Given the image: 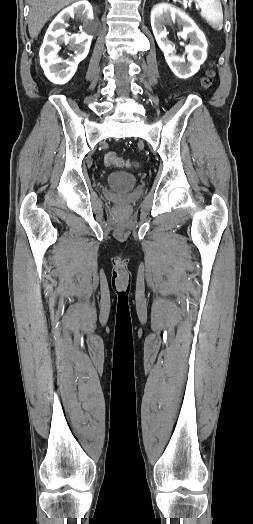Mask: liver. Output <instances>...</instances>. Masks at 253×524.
<instances>
[{"instance_id": "6515ba94", "label": "liver", "mask_w": 253, "mask_h": 524, "mask_svg": "<svg viewBox=\"0 0 253 524\" xmlns=\"http://www.w3.org/2000/svg\"><path fill=\"white\" fill-rule=\"evenodd\" d=\"M77 0H29L28 30L32 38L37 37L48 19Z\"/></svg>"}]
</instances>
